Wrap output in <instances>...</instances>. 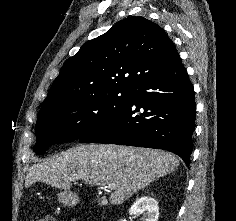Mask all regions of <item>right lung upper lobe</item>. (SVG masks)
<instances>
[{"label":"right lung upper lobe","instance_id":"1","mask_svg":"<svg viewBox=\"0 0 236 221\" xmlns=\"http://www.w3.org/2000/svg\"><path fill=\"white\" fill-rule=\"evenodd\" d=\"M178 56L160 26L141 16L126 18L65 61L41 109L98 93L131 90Z\"/></svg>","mask_w":236,"mask_h":221}]
</instances>
